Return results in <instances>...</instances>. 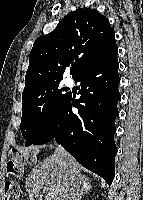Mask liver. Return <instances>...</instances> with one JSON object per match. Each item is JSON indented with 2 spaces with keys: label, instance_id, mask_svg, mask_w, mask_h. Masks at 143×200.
Listing matches in <instances>:
<instances>
[{
  "label": "liver",
  "instance_id": "obj_1",
  "mask_svg": "<svg viewBox=\"0 0 143 200\" xmlns=\"http://www.w3.org/2000/svg\"><path fill=\"white\" fill-rule=\"evenodd\" d=\"M79 163L66 151H56L38 163L25 181L30 200H76L88 178L81 173ZM43 190V194L40 191ZM49 192L55 193L53 196Z\"/></svg>",
  "mask_w": 143,
  "mask_h": 200
}]
</instances>
